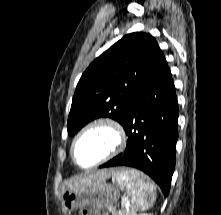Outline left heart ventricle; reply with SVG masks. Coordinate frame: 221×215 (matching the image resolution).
Wrapping results in <instances>:
<instances>
[{
	"instance_id": "obj_1",
	"label": "left heart ventricle",
	"mask_w": 221,
	"mask_h": 215,
	"mask_svg": "<svg viewBox=\"0 0 221 215\" xmlns=\"http://www.w3.org/2000/svg\"><path fill=\"white\" fill-rule=\"evenodd\" d=\"M112 136L95 129L85 134L76 144L75 156L80 165L87 166L100 159L112 146Z\"/></svg>"
}]
</instances>
